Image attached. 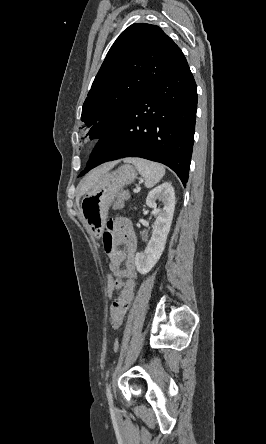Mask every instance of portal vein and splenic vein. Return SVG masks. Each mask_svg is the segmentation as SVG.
<instances>
[{"label": "portal vein and splenic vein", "mask_w": 266, "mask_h": 444, "mask_svg": "<svg viewBox=\"0 0 266 444\" xmlns=\"http://www.w3.org/2000/svg\"><path fill=\"white\" fill-rule=\"evenodd\" d=\"M133 191H134V193H137V192H138V189H134Z\"/></svg>", "instance_id": "1"}]
</instances>
